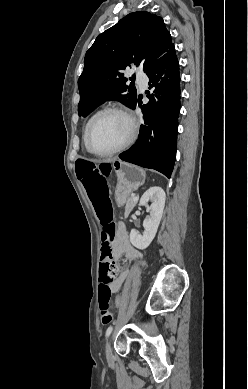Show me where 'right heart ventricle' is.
<instances>
[{
    "instance_id": "1",
    "label": "right heart ventricle",
    "mask_w": 248,
    "mask_h": 389,
    "mask_svg": "<svg viewBox=\"0 0 248 389\" xmlns=\"http://www.w3.org/2000/svg\"><path fill=\"white\" fill-rule=\"evenodd\" d=\"M92 117H93V116H92ZM92 117H91V118H92ZM91 118H90V119H91ZM90 119L88 120V122L90 121ZM88 122H87V124H88ZM87 124H86V126H87ZM85 129H86V127H85Z\"/></svg>"
}]
</instances>
